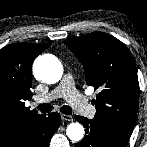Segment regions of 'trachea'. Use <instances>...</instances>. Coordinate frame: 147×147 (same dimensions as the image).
<instances>
[{"mask_svg": "<svg viewBox=\"0 0 147 147\" xmlns=\"http://www.w3.org/2000/svg\"><path fill=\"white\" fill-rule=\"evenodd\" d=\"M37 109L40 110L42 113H49L52 110L50 104L43 103L37 106ZM60 111L65 115H71L72 109L70 106L64 105L61 107Z\"/></svg>", "mask_w": 147, "mask_h": 147, "instance_id": "obj_1", "label": "trachea"}]
</instances>
